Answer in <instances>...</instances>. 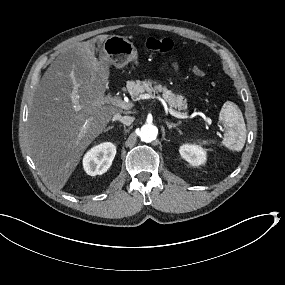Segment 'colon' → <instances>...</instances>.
Wrapping results in <instances>:
<instances>
[{"label": "colon", "instance_id": "colon-1", "mask_svg": "<svg viewBox=\"0 0 285 285\" xmlns=\"http://www.w3.org/2000/svg\"><path fill=\"white\" fill-rule=\"evenodd\" d=\"M145 47L152 52L168 53L173 50L174 42L169 38L150 37L145 41ZM191 71L197 77L205 76V72L196 66L192 67Z\"/></svg>", "mask_w": 285, "mask_h": 285}]
</instances>
